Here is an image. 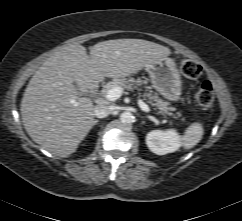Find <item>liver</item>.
Masks as SVG:
<instances>
[{
	"label": "liver",
	"mask_w": 242,
	"mask_h": 221,
	"mask_svg": "<svg viewBox=\"0 0 242 221\" xmlns=\"http://www.w3.org/2000/svg\"><path fill=\"white\" fill-rule=\"evenodd\" d=\"M171 50L142 39H115L90 47L69 44L51 55L30 79L21 101L22 122L28 135L59 157L73 154L94 124L91 99L83 92L105 77L136 74ZM74 83L77 85H74Z\"/></svg>",
	"instance_id": "obj_1"
}]
</instances>
